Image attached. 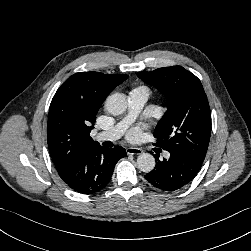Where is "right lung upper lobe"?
Returning a JSON list of instances; mask_svg holds the SVG:
<instances>
[{
    "instance_id": "obj_1",
    "label": "right lung upper lobe",
    "mask_w": 251,
    "mask_h": 251,
    "mask_svg": "<svg viewBox=\"0 0 251 251\" xmlns=\"http://www.w3.org/2000/svg\"><path fill=\"white\" fill-rule=\"evenodd\" d=\"M128 75L79 72L55 93L49 108L47 140L59 175L88 148L99 146L90 137L97 112L110 92Z\"/></svg>"
}]
</instances>
